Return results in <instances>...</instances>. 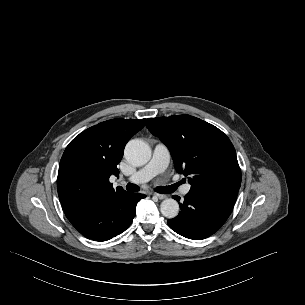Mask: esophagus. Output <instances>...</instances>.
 Returning <instances> with one entry per match:
<instances>
[{
  "mask_svg": "<svg viewBox=\"0 0 305 305\" xmlns=\"http://www.w3.org/2000/svg\"><path fill=\"white\" fill-rule=\"evenodd\" d=\"M153 195L155 197H157L158 199H165V198H167V195H164V194L154 193Z\"/></svg>",
  "mask_w": 305,
  "mask_h": 305,
  "instance_id": "1",
  "label": "esophagus"
}]
</instances>
